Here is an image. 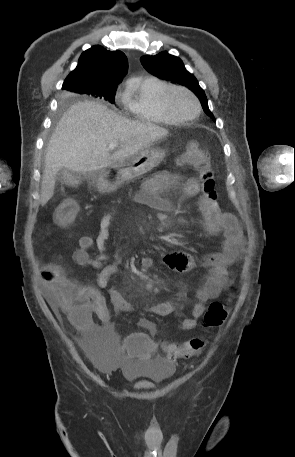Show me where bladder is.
Returning a JSON list of instances; mask_svg holds the SVG:
<instances>
[{
	"label": "bladder",
	"instance_id": "31cf9c89",
	"mask_svg": "<svg viewBox=\"0 0 295 457\" xmlns=\"http://www.w3.org/2000/svg\"><path fill=\"white\" fill-rule=\"evenodd\" d=\"M78 347H85V356H90L94 365L102 371H110L117 366L116 338H78ZM124 378L130 382L145 381L160 384L172 374V365L164 359L148 360L147 366H138L137 362L125 361L121 367Z\"/></svg>",
	"mask_w": 295,
	"mask_h": 457
}]
</instances>
